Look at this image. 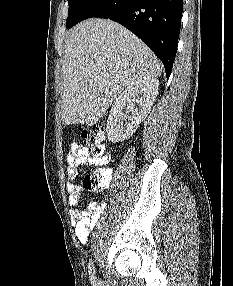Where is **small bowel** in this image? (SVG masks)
<instances>
[{"label": "small bowel", "instance_id": "obj_1", "mask_svg": "<svg viewBox=\"0 0 233 286\" xmlns=\"http://www.w3.org/2000/svg\"><path fill=\"white\" fill-rule=\"evenodd\" d=\"M68 167L67 177L69 182L66 185L69 194V204L72 209L70 211V221L74 227L76 237L81 243L87 241L90 230L94 228L99 218L101 217L104 204L92 201L83 209L79 210L80 197L83 193V188L74 182L77 177L79 168L88 165H105L108 162V157L97 159L90 156L86 147L80 143H73L67 155Z\"/></svg>", "mask_w": 233, "mask_h": 286}]
</instances>
